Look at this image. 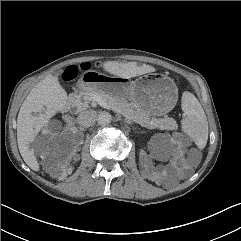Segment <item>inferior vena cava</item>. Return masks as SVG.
Instances as JSON below:
<instances>
[{
  "mask_svg": "<svg viewBox=\"0 0 241 241\" xmlns=\"http://www.w3.org/2000/svg\"><path fill=\"white\" fill-rule=\"evenodd\" d=\"M96 115V111L91 109L82 111L77 117V122L80 126L90 127L95 123Z\"/></svg>",
  "mask_w": 241,
  "mask_h": 241,
  "instance_id": "obj_1",
  "label": "inferior vena cava"
}]
</instances>
